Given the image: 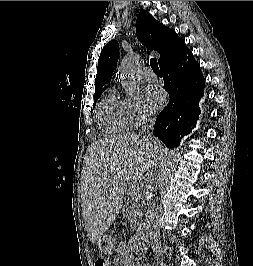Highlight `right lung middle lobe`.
I'll return each instance as SVG.
<instances>
[{
  "label": "right lung middle lobe",
  "instance_id": "dd1d6c3e",
  "mask_svg": "<svg viewBox=\"0 0 253 266\" xmlns=\"http://www.w3.org/2000/svg\"><path fill=\"white\" fill-rule=\"evenodd\" d=\"M99 97H100V96L94 97V105H95V103L97 102V99H98Z\"/></svg>",
  "mask_w": 253,
  "mask_h": 266
}]
</instances>
